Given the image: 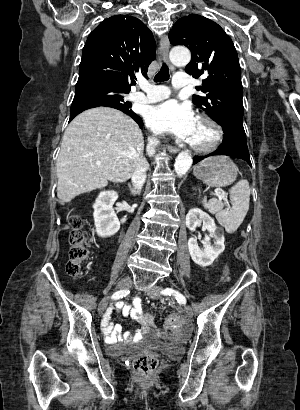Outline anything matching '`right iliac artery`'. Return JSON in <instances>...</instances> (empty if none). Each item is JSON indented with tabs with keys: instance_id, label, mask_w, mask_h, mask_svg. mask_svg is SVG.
<instances>
[{
	"instance_id": "right-iliac-artery-1",
	"label": "right iliac artery",
	"mask_w": 300,
	"mask_h": 410,
	"mask_svg": "<svg viewBox=\"0 0 300 410\" xmlns=\"http://www.w3.org/2000/svg\"><path fill=\"white\" fill-rule=\"evenodd\" d=\"M129 293H130L129 290H120V291L115 292V293L111 296V298H112V299H120V298L125 297V296L128 295Z\"/></svg>"
}]
</instances>
